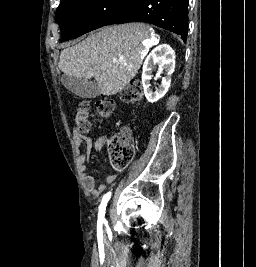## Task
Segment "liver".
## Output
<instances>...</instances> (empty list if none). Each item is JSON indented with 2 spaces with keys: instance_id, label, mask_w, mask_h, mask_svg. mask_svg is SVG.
<instances>
[{
  "instance_id": "6515ba94",
  "label": "liver",
  "mask_w": 256,
  "mask_h": 267,
  "mask_svg": "<svg viewBox=\"0 0 256 267\" xmlns=\"http://www.w3.org/2000/svg\"><path fill=\"white\" fill-rule=\"evenodd\" d=\"M145 24L104 26L60 54L59 70L82 80L95 78L103 96L121 92L135 78L143 62Z\"/></svg>"
}]
</instances>
